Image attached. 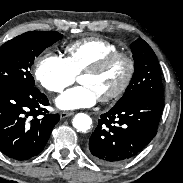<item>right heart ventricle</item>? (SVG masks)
I'll return each instance as SVG.
<instances>
[{
  "label": "right heart ventricle",
  "mask_w": 183,
  "mask_h": 183,
  "mask_svg": "<svg viewBox=\"0 0 183 183\" xmlns=\"http://www.w3.org/2000/svg\"><path fill=\"white\" fill-rule=\"evenodd\" d=\"M119 51L116 44L97 37L75 41L65 47V61L71 71L78 75L98 60Z\"/></svg>",
  "instance_id": "right-heart-ventricle-1"
}]
</instances>
